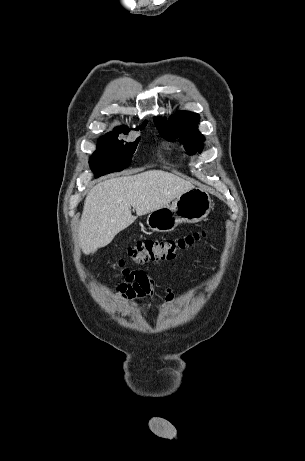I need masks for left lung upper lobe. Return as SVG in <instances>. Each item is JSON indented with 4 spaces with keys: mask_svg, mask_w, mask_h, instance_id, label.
<instances>
[{
    "mask_svg": "<svg viewBox=\"0 0 305 461\" xmlns=\"http://www.w3.org/2000/svg\"><path fill=\"white\" fill-rule=\"evenodd\" d=\"M199 120L198 114L187 111L178 112L166 124H163L164 120L154 117V122L161 136L168 141L179 138L191 154L196 151L201 152L200 146L204 141L203 135L197 129Z\"/></svg>",
    "mask_w": 305,
    "mask_h": 461,
    "instance_id": "5c2ea615",
    "label": "left lung upper lobe"
}]
</instances>
